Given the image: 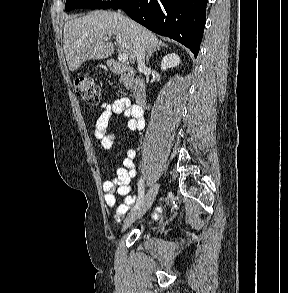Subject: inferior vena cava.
Here are the masks:
<instances>
[{"mask_svg":"<svg viewBox=\"0 0 288 293\" xmlns=\"http://www.w3.org/2000/svg\"><path fill=\"white\" fill-rule=\"evenodd\" d=\"M137 63H138V69L140 71H143L146 66H145V53H144V49L142 48V46L140 45L139 39L137 38Z\"/></svg>","mask_w":288,"mask_h":293,"instance_id":"obj_1","label":"inferior vena cava"}]
</instances>
